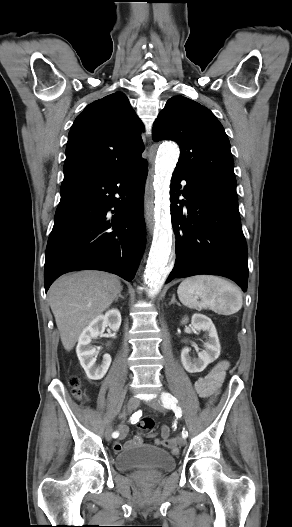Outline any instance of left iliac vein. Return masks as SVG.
Wrapping results in <instances>:
<instances>
[{"mask_svg":"<svg viewBox=\"0 0 292 527\" xmlns=\"http://www.w3.org/2000/svg\"><path fill=\"white\" fill-rule=\"evenodd\" d=\"M148 405L151 406L153 409L159 411V412H164L165 411L162 402L158 398H154V399L148 401ZM178 444L180 446H184L186 444V439L183 438V437H179L178 438Z\"/></svg>","mask_w":292,"mask_h":527,"instance_id":"obj_1","label":"left iliac vein"}]
</instances>
